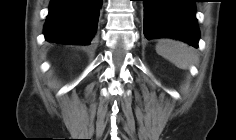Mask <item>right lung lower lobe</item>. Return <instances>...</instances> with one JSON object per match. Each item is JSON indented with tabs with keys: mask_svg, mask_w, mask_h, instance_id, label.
Segmentation results:
<instances>
[{
	"mask_svg": "<svg viewBox=\"0 0 236 140\" xmlns=\"http://www.w3.org/2000/svg\"><path fill=\"white\" fill-rule=\"evenodd\" d=\"M102 0H51L44 26L47 41L89 45L98 23Z\"/></svg>",
	"mask_w": 236,
	"mask_h": 140,
	"instance_id": "1",
	"label": "right lung lower lobe"
}]
</instances>
